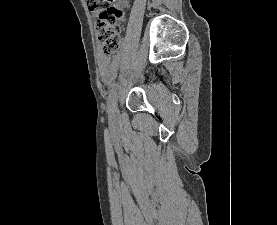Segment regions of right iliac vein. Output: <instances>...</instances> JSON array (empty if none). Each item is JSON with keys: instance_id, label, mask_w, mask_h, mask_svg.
<instances>
[{"instance_id": "1", "label": "right iliac vein", "mask_w": 277, "mask_h": 225, "mask_svg": "<svg viewBox=\"0 0 277 225\" xmlns=\"http://www.w3.org/2000/svg\"><path fill=\"white\" fill-rule=\"evenodd\" d=\"M113 115H114V118L117 116V113H118V106H117V101L114 102V108H113Z\"/></svg>"}]
</instances>
